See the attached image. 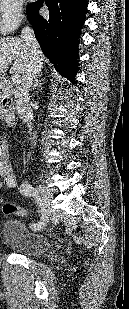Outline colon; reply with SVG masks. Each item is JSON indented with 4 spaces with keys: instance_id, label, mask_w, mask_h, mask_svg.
Returning a JSON list of instances; mask_svg holds the SVG:
<instances>
[{
    "instance_id": "1",
    "label": "colon",
    "mask_w": 129,
    "mask_h": 309,
    "mask_svg": "<svg viewBox=\"0 0 129 309\" xmlns=\"http://www.w3.org/2000/svg\"><path fill=\"white\" fill-rule=\"evenodd\" d=\"M3 212L5 214H16L19 216H27L29 214L28 210L8 203L3 205Z\"/></svg>"
}]
</instances>
